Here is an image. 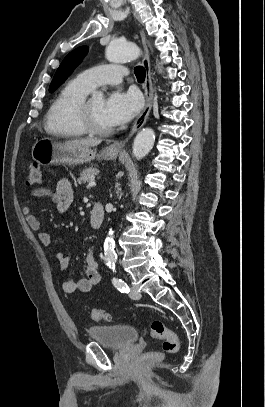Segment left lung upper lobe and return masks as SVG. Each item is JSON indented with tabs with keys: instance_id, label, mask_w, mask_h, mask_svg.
<instances>
[{
	"instance_id": "1",
	"label": "left lung upper lobe",
	"mask_w": 265,
	"mask_h": 407,
	"mask_svg": "<svg viewBox=\"0 0 265 407\" xmlns=\"http://www.w3.org/2000/svg\"><path fill=\"white\" fill-rule=\"evenodd\" d=\"M88 52L87 46H81L72 52H70L62 61L61 65L57 69L54 78L51 82L49 91L53 92L57 89L66 78L72 73L74 68L81 62L86 53Z\"/></svg>"
}]
</instances>
